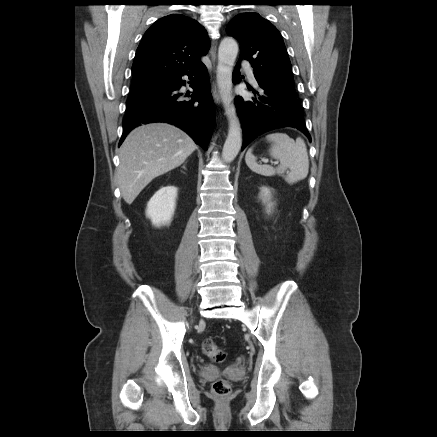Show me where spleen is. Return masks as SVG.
Masks as SVG:
<instances>
[{
	"mask_svg": "<svg viewBox=\"0 0 437 437\" xmlns=\"http://www.w3.org/2000/svg\"><path fill=\"white\" fill-rule=\"evenodd\" d=\"M271 142L270 156L280 161V165L274 168L267 164H258L257 158L252 154L250 148L245 156L247 166L253 172L263 176L282 175L288 184H294L307 177L309 172V158L307 148L302 138L296 141L285 133H272L266 136ZM290 171L286 173V170Z\"/></svg>",
	"mask_w": 437,
	"mask_h": 437,
	"instance_id": "1",
	"label": "spleen"
}]
</instances>
